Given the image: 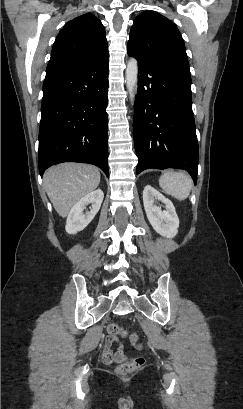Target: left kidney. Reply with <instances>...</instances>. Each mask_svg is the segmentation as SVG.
I'll use <instances>...</instances> for the list:
<instances>
[{
    "instance_id": "5707ae66",
    "label": "left kidney",
    "mask_w": 243,
    "mask_h": 409,
    "mask_svg": "<svg viewBox=\"0 0 243 409\" xmlns=\"http://www.w3.org/2000/svg\"><path fill=\"white\" fill-rule=\"evenodd\" d=\"M155 199L164 203L166 210L162 211L159 206L154 205ZM143 203L153 229L161 236L175 237L178 233L179 219L173 203L150 185L145 186L143 190Z\"/></svg>"
}]
</instances>
